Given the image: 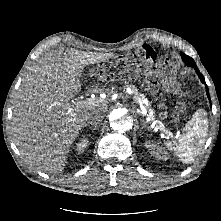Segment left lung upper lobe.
<instances>
[{
  "label": "left lung upper lobe",
  "instance_id": "1",
  "mask_svg": "<svg viewBox=\"0 0 221 221\" xmlns=\"http://www.w3.org/2000/svg\"><path fill=\"white\" fill-rule=\"evenodd\" d=\"M181 57L187 66H192V67L196 66L194 60L191 57L185 55L184 53L183 55H181Z\"/></svg>",
  "mask_w": 221,
  "mask_h": 221
}]
</instances>
